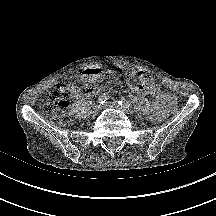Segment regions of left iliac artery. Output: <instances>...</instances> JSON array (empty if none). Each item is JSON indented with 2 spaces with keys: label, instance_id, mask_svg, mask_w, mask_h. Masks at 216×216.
I'll list each match as a JSON object with an SVG mask.
<instances>
[{
  "label": "left iliac artery",
  "instance_id": "left-iliac-artery-1",
  "mask_svg": "<svg viewBox=\"0 0 216 216\" xmlns=\"http://www.w3.org/2000/svg\"><path fill=\"white\" fill-rule=\"evenodd\" d=\"M118 104L120 106L126 107V108H130L131 104L129 103V101H127L126 99L122 98L118 101Z\"/></svg>",
  "mask_w": 216,
  "mask_h": 216
}]
</instances>
